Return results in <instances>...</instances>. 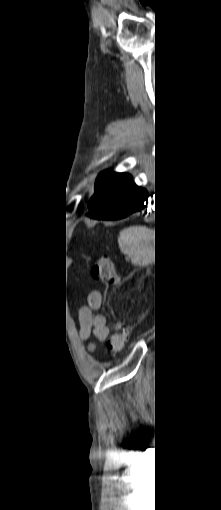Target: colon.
I'll return each instance as SVG.
<instances>
[{
  "instance_id": "colon-1",
  "label": "colon",
  "mask_w": 221,
  "mask_h": 510,
  "mask_svg": "<svg viewBox=\"0 0 221 510\" xmlns=\"http://www.w3.org/2000/svg\"><path fill=\"white\" fill-rule=\"evenodd\" d=\"M91 274L95 281L103 283H114L117 278L114 273L113 263L108 257H102L94 262ZM130 330L126 326H118L107 342V349L110 353L120 352L126 346Z\"/></svg>"
}]
</instances>
